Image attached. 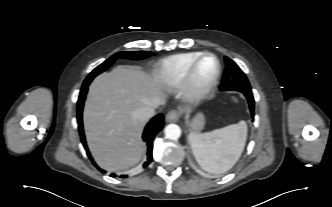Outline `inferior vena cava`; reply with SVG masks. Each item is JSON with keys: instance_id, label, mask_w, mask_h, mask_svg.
<instances>
[{"instance_id": "1", "label": "inferior vena cava", "mask_w": 332, "mask_h": 207, "mask_svg": "<svg viewBox=\"0 0 332 207\" xmlns=\"http://www.w3.org/2000/svg\"><path fill=\"white\" fill-rule=\"evenodd\" d=\"M160 106L159 102L144 106L135 112V117L141 121H146L155 114V109Z\"/></svg>"}]
</instances>
